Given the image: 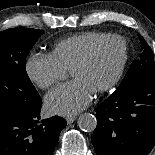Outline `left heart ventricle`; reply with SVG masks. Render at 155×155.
Instances as JSON below:
<instances>
[{"instance_id": "1", "label": "left heart ventricle", "mask_w": 155, "mask_h": 155, "mask_svg": "<svg viewBox=\"0 0 155 155\" xmlns=\"http://www.w3.org/2000/svg\"><path fill=\"white\" fill-rule=\"evenodd\" d=\"M122 58L123 45L120 41L105 42L88 64L70 73L71 78L83 82L95 93L115 76Z\"/></svg>"}]
</instances>
